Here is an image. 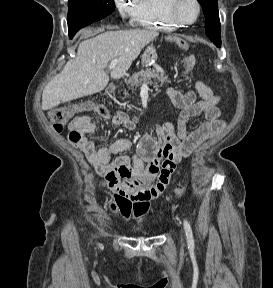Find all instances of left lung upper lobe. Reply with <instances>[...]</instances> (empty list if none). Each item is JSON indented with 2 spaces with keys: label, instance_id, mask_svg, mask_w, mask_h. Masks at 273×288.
I'll return each mask as SVG.
<instances>
[{
  "label": "left lung upper lobe",
  "instance_id": "1",
  "mask_svg": "<svg viewBox=\"0 0 273 288\" xmlns=\"http://www.w3.org/2000/svg\"><path fill=\"white\" fill-rule=\"evenodd\" d=\"M203 8L205 15V32L206 35L214 42L221 43L220 21L218 14L217 0H198Z\"/></svg>",
  "mask_w": 273,
  "mask_h": 288
}]
</instances>
